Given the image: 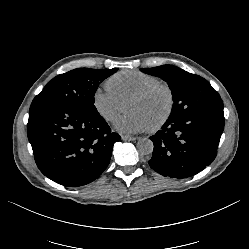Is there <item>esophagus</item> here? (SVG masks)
Here are the masks:
<instances>
[{
    "label": "esophagus",
    "mask_w": 249,
    "mask_h": 249,
    "mask_svg": "<svg viewBox=\"0 0 249 249\" xmlns=\"http://www.w3.org/2000/svg\"><path fill=\"white\" fill-rule=\"evenodd\" d=\"M121 139H122L123 141H135V140H136L135 137H131V136H127V135H122V136H121Z\"/></svg>",
    "instance_id": "obj_1"
}]
</instances>
